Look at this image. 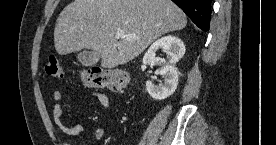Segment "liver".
<instances>
[{"mask_svg":"<svg viewBox=\"0 0 276 145\" xmlns=\"http://www.w3.org/2000/svg\"><path fill=\"white\" fill-rule=\"evenodd\" d=\"M186 24V15L171 0H74L57 18L54 45L61 55L94 50L103 68H114ZM117 30L136 39L117 38Z\"/></svg>","mask_w":276,"mask_h":145,"instance_id":"obj_1","label":"liver"}]
</instances>
